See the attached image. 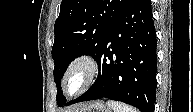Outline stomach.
Returning a JSON list of instances; mask_svg holds the SVG:
<instances>
[{
    "mask_svg": "<svg viewBox=\"0 0 193 112\" xmlns=\"http://www.w3.org/2000/svg\"><path fill=\"white\" fill-rule=\"evenodd\" d=\"M75 112H111L102 101L86 103Z\"/></svg>",
    "mask_w": 193,
    "mask_h": 112,
    "instance_id": "0dacf381",
    "label": "stomach"
}]
</instances>
